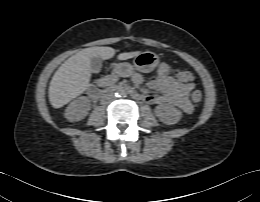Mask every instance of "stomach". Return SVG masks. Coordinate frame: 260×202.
<instances>
[{
    "mask_svg": "<svg viewBox=\"0 0 260 202\" xmlns=\"http://www.w3.org/2000/svg\"><path fill=\"white\" fill-rule=\"evenodd\" d=\"M159 64L158 56L153 52H142L138 54L134 60L133 65L128 62L119 63L115 67V72L121 77H128L134 70L148 73L153 71Z\"/></svg>",
    "mask_w": 260,
    "mask_h": 202,
    "instance_id": "0dacf381",
    "label": "stomach"
}]
</instances>
